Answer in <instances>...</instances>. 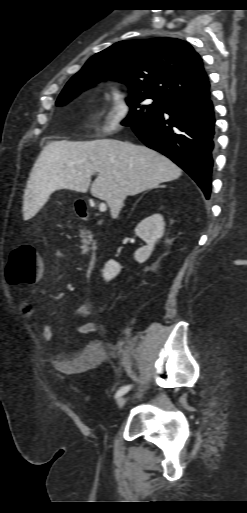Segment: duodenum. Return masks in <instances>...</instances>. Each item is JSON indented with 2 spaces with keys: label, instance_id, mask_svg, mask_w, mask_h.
<instances>
[{
  "label": "duodenum",
  "instance_id": "duodenum-1",
  "mask_svg": "<svg viewBox=\"0 0 247 513\" xmlns=\"http://www.w3.org/2000/svg\"><path fill=\"white\" fill-rule=\"evenodd\" d=\"M76 209H77L78 214L82 218L86 219L88 217V208H87V204L84 201H81V200L78 201L76 204ZM97 259H98L97 256L93 255L91 257L90 264L94 266L97 262Z\"/></svg>",
  "mask_w": 247,
  "mask_h": 513
}]
</instances>
